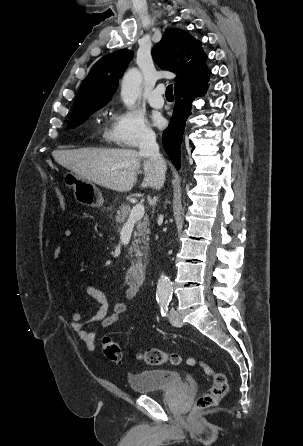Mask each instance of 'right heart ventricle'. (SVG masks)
I'll return each instance as SVG.
<instances>
[{"label": "right heart ventricle", "mask_w": 303, "mask_h": 446, "mask_svg": "<svg viewBox=\"0 0 303 446\" xmlns=\"http://www.w3.org/2000/svg\"><path fill=\"white\" fill-rule=\"evenodd\" d=\"M101 133L105 139H110V132L107 130V128L102 127Z\"/></svg>", "instance_id": "e07e8e85"}]
</instances>
